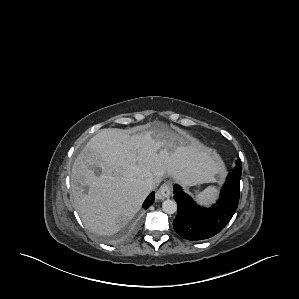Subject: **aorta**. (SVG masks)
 <instances>
[{
	"label": "aorta",
	"mask_w": 299,
	"mask_h": 299,
	"mask_svg": "<svg viewBox=\"0 0 299 299\" xmlns=\"http://www.w3.org/2000/svg\"><path fill=\"white\" fill-rule=\"evenodd\" d=\"M162 209L167 214H174L177 211V204L174 200L167 199L163 201Z\"/></svg>",
	"instance_id": "aorta-1"
}]
</instances>
